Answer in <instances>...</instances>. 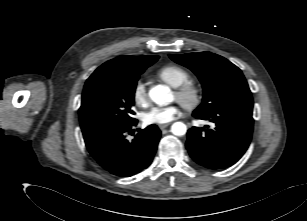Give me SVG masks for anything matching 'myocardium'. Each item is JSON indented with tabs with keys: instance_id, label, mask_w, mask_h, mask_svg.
Wrapping results in <instances>:
<instances>
[{
	"instance_id": "1",
	"label": "myocardium",
	"mask_w": 307,
	"mask_h": 221,
	"mask_svg": "<svg viewBox=\"0 0 307 221\" xmlns=\"http://www.w3.org/2000/svg\"><path fill=\"white\" fill-rule=\"evenodd\" d=\"M174 93L176 95V99L188 111H195L198 109L204 99L203 88L198 83L193 81H186L175 87Z\"/></svg>"
}]
</instances>
